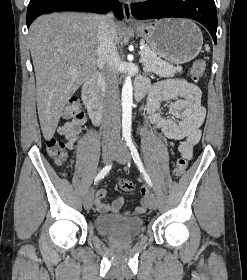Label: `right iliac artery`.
<instances>
[{"label":"right iliac artery","mask_w":247,"mask_h":280,"mask_svg":"<svg viewBox=\"0 0 247 280\" xmlns=\"http://www.w3.org/2000/svg\"><path fill=\"white\" fill-rule=\"evenodd\" d=\"M112 167V164L106 165L100 172L99 174L95 177L94 184L98 183L101 179L106 176V174L110 171Z\"/></svg>","instance_id":"1"}]
</instances>
